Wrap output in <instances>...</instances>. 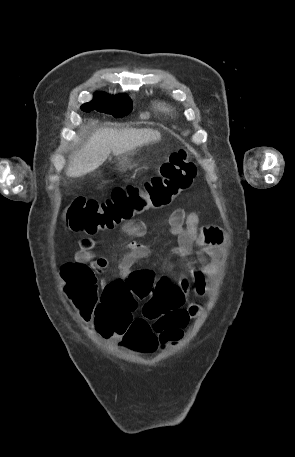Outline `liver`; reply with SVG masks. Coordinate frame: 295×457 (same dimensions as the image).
I'll return each mask as SVG.
<instances>
[{
	"instance_id": "1",
	"label": "liver",
	"mask_w": 295,
	"mask_h": 457,
	"mask_svg": "<svg viewBox=\"0 0 295 457\" xmlns=\"http://www.w3.org/2000/svg\"><path fill=\"white\" fill-rule=\"evenodd\" d=\"M160 139V132L153 129H99L92 134L86 145L70 159L66 168V175L72 178L84 176L100 167L111 152L114 156L124 155Z\"/></svg>"
}]
</instances>
